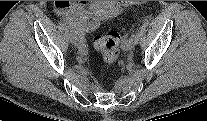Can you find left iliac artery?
Returning a JSON list of instances; mask_svg holds the SVG:
<instances>
[{
	"instance_id": "left-iliac-artery-1",
	"label": "left iliac artery",
	"mask_w": 207,
	"mask_h": 121,
	"mask_svg": "<svg viewBox=\"0 0 207 121\" xmlns=\"http://www.w3.org/2000/svg\"><path fill=\"white\" fill-rule=\"evenodd\" d=\"M131 38H133V39H137V35H136V31H135V29L132 30ZM137 42H138V41H137Z\"/></svg>"
}]
</instances>
